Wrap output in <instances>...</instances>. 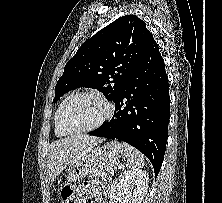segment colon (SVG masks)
Segmentation results:
<instances>
[{"label":"colon","instance_id":"colon-1","mask_svg":"<svg viewBox=\"0 0 222 203\" xmlns=\"http://www.w3.org/2000/svg\"><path fill=\"white\" fill-rule=\"evenodd\" d=\"M60 195L62 197V199L66 202V203H74L73 202V195H74V190L71 186L66 185L60 192Z\"/></svg>","mask_w":222,"mask_h":203}]
</instances>
